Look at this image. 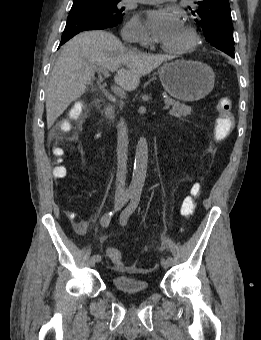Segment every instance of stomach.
<instances>
[{
  "instance_id": "0dacf381",
  "label": "stomach",
  "mask_w": 261,
  "mask_h": 340,
  "mask_svg": "<svg viewBox=\"0 0 261 340\" xmlns=\"http://www.w3.org/2000/svg\"><path fill=\"white\" fill-rule=\"evenodd\" d=\"M159 78L165 91L180 101L192 102L205 98L214 88L215 74L200 61L178 60L164 64Z\"/></svg>"
}]
</instances>
